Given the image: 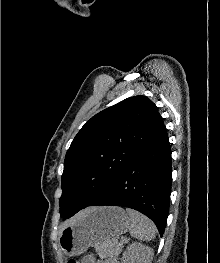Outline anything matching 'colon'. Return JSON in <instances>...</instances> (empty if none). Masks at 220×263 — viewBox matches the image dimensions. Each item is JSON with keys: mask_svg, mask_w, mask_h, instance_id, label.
<instances>
[{"mask_svg": "<svg viewBox=\"0 0 220 263\" xmlns=\"http://www.w3.org/2000/svg\"><path fill=\"white\" fill-rule=\"evenodd\" d=\"M68 263H80L77 259H70Z\"/></svg>", "mask_w": 220, "mask_h": 263, "instance_id": "obj_1", "label": "colon"}]
</instances>
